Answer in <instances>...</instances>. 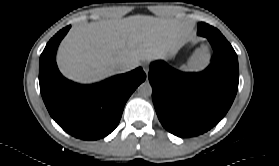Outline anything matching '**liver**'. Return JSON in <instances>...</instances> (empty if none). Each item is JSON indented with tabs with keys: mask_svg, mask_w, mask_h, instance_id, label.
I'll use <instances>...</instances> for the list:
<instances>
[{
	"mask_svg": "<svg viewBox=\"0 0 279 166\" xmlns=\"http://www.w3.org/2000/svg\"><path fill=\"white\" fill-rule=\"evenodd\" d=\"M185 27L172 18L135 15L75 26L57 54L60 71L79 83L119 72L126 62L165 59L182 46Z\"/></svg>",
	"mask_w": 279,
	"mask_h": 166,
	"instance_id": "6515ba94",
	"label": "liver"
}]
</instances>
